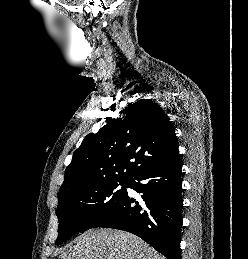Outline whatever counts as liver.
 I'll return each mask as SVG.
<instances>
[{
  "instance_id": "liver-1",
  "label": "liver",
  "mask_w": 248,
  "mask_h": 259,
  "mask_svg": "<svg viewBox=\"0 0 248 259\" xmlns=\"http://www.w3.org/2000/svg\"><path fill=\"white\" fill-rule=\"evenodd\" d=\"M58 259H165L139 237L120 230H88Z\"/></svg>"
}]
</instances>
